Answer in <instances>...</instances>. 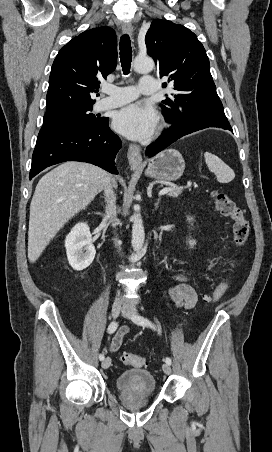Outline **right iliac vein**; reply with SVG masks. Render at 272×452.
Wrapping results in <instances>:
<instances>
[{
  "instance_id": "63e3f726",
  "label": "right iliac vein",
  "mask_w": 272,
  "mask_h": 452,
  "mask_svg": "<svg viewBox=\"0 0 272 452\" xmlns=\"http://www.w3.org/2000/svg\"><path fill=\"white\" fill-rule=\"evenodd\" d=\"M121 307H122V305H121L120 302H115V303L112 305V308H111V315H112L113 318H117V317H118V315H119V313H120V311H121ZM110 365H111V359H110L109 357H106V358L103 360V362H102V367H103V369L109 368Z\"/></svg>"
}]
</instances>
